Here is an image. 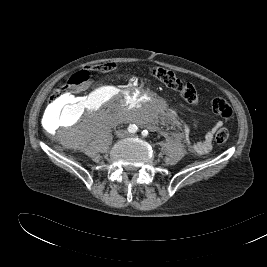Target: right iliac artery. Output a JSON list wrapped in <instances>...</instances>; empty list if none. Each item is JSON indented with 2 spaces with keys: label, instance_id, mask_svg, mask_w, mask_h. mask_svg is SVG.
Masks as SVG:
<instances>
[{
  "label": "right iliac artery",
  "instance_id": "82829eb1",
  "mask_svg": "<svg viewBox=\"0 0 267 267\" xmlns=\"http://www.w3.org/2000/svg\"><path fill=\"white\" fill-rule=\"evenodd\" d=\"M128 131H129L130 133H136V132L138 131V127H137L135 124H130V125L128 126Z\"/></svg>",
  "mask_w": 267,
  "mask_h": 267
}]
</instances>
